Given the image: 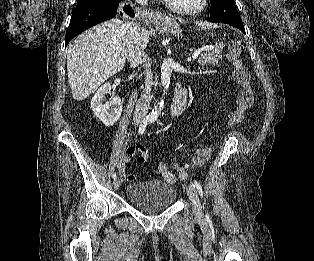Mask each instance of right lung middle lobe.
<instances>
[{"mask_svg":"<svg viewBox=\"0 0 314 261\" xmlns=\"http://www.w3.org/2000/svg\"><path fill=\"white\" fill-rule=\"evenodd\" d=\"M93 1H96V0H77V6L76 7L84 6V5L91 3Z\"/></svg>","mask_w":314,"mask_h":261,"instance_id":"right-lung-middle-lobe-1","label":"right lung middle lobe"}]
</instances>
